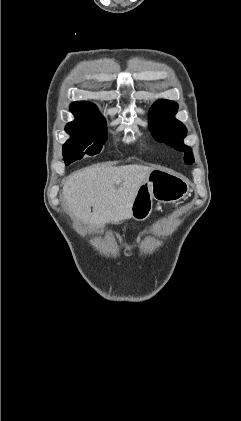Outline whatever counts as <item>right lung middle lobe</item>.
Returning a JSON list of instances; mask_svg holds the SVG:
<instances>
[{
    "instance_id": "obj_1",
    "label": "right lung middle lobe",
    "mask_w": 241,
    "mask_h": 421,
    "mask_svg": "<svg viewBox=\"0 0 241 421\" xmlns=\"http://www.w3.org/2000/svg\"><path fill=\"white\" fill-rule=\"evenodd\" d=\"M65 130L70 134V139L63 145V156L66 165L81 159L85 154L89 156L98 154L107 139V128L104 119L89 125L67 124Z\"/></svg>"
}]
</instances>
